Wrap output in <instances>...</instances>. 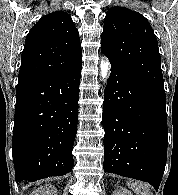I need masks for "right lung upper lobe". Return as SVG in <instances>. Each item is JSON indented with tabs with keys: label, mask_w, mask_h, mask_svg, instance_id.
<instances>
[{
	"label": "right lung upper lobe",
	"mask_w": 178,
	"mask_h": 195,
	"mask_svg": "<svg viewBox=\"0 0 178 195\" xmlns=\"http://www.w3.org/2000/svg\"><path fill=\"white\" fill-rule=\"evenodd\" d=\"M81 64L78 30L69 14L56 11L43 16L29 31L18 80L71 71Z\"/></svg>",
	"instance_id": "right-lung-upper-lobe-1"
}]
</instances>
